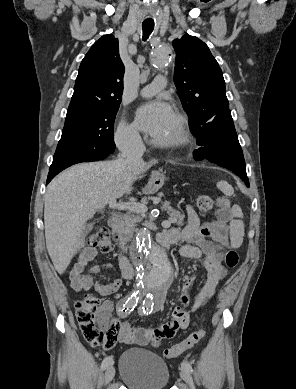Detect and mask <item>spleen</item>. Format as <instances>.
I'll use <instances>...</instances> for the list:
<instances>
[{
	"label": "spleen",
	"instance_id": "spleen-1",
	"mask_svg": "<svg viewBox=\"0 0 296 389\" xmlns=\"http://www.w3.org/2000/svg\"><path fill=\"white\" fill-rule=\"evenodd\" d=\"M217 188L220 189L226 196H231L234 193L233 187L226 181H219ZM232 215L237 218H243V213L239 206L232 207ZM230 241L231 246L239 248L243 242L244 237V223L242 220L231 219L230 221Z\"/></svg>",
	"mask_w": 296,
	"mask_h": 389
}]
</instances>
